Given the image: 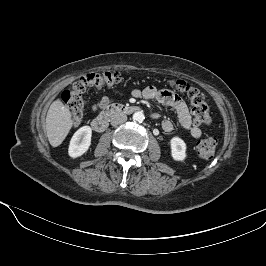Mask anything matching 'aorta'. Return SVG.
<instances>
[{"label": "aorta", "mask_w": 266, "mask_h": 266, "mask_svg": "<svg viewBox=\"0 0 266 266\" xmlns=\"http://www.w3.org/2000/svg\"><path fill=\"white\" fill-rule=\"evenodd\" d=\"M145 119L144 113L142 111H137L133 114V120L142 123Z\"/></svg>", "instance_id": "aorta-1"}]
</instances>
